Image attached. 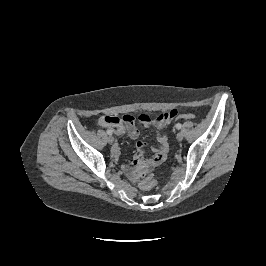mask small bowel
Here are the masks:
<instances>
[{
    "label": "small bowel",
    "mask_w": 266,
    "mask_h": 266,
    "mask_svg": "<svg viewBox=\"0 0 266 266\" xmlns=\"http://www.w3.org/2000/svg\"><path fill=\"white\" fill-rule=\"evenodd\" d=\"M178 116L177 110L173 109L168 112L159 114L155 118H150L147 115H141L139 120L145 124L153 126L157 131V141L159 146L156 148V153L151 158H144L145 144L141 141L136 142V154L134 160L123 166L126 173H128L133 180H138L143 174L149 172L154 167L162 163L169 150V142L163 129ZM135 116L127 114L122 118L104 116L99 119V124L102 127H109L117 134L127 133L131 138L137 139L139 131L135 126ZM115 158L119 156L120 149L115 145L112 149Z\"/></svg>",
    "instance_id": "obj_1"
}]
</instances>
